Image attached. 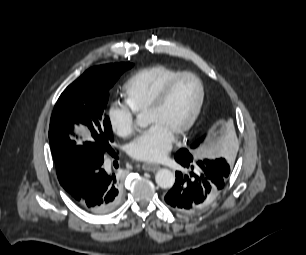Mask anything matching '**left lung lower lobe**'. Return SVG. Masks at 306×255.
<instances>
[{"label": "left lung lower lobe", "mask_w": 306, "mask_h": 255, "mask_svg": "<svg viewBox=\"0 0 306 255\" xmlns=\"http://www.w3.org/2000/svg\"><path fill=\"white\" fill-rule=\"evenodd\" d=\"M175 160L190 173L176 172L175 184L166 194L165 201L176 212L195 213L203 209L224 187L230 168L213 166L204 161L195 162L187 149H180Z\"/></svg>", "instance_id": "0a47b994"}]
</instances>
